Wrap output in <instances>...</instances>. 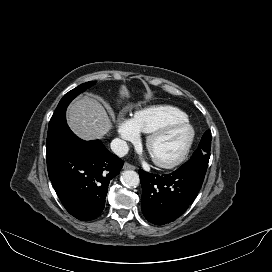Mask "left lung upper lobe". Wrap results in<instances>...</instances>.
I'll use <instances>...</instances> for the list:
<instances>
[{
    "instance_id": "1",
    "label": "left lung upper lobe",
    "mask_w": 272,
    "mask_h": 272,
    "mask_svg": "<svg viewBox=\"0 0 272 272\" xmlns=\"http://www.w3.org/2000/svg\"><path fill=\"white\" fill-rule=\"evenodd\" d=\"M211 150V131L208 130L202 136L198 149L193 153L190 160L197 158H209Z\"/></svg>"
}]
</instances>
